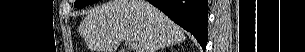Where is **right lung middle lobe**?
Segmentation results:
<instances>
[{
  "label": "right lung middle lobe",
  "instance_id": "1",
  "mask_svg": "<svg viewBox=\"0 0 305 52\" xmlns=\"http://www.w3.org/2000/svg\"><path fill=\"white\" fill-rule=\"evenodd\" d=\"M97 1L98 0H76V2L74 3V6L76 8H82V7H85L89 4L95 3Z\"/></svg>",
  "mask_w": 305,
  "mask_h": 52
}]
</instances>
